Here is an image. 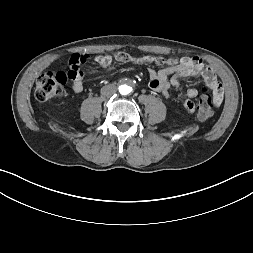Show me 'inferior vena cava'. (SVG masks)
Returning a JSON list of instances; mask_svg holds the SVG:
<instances>
[{"label": "inferior vena cava", "mask_w": 253, "mask_h": 253, "mask_svg": "<svg viewBox=\"0 0 253 253\" xmlns=\"http://www.w3.org/2000/svg\"><path fill=\"white\" fill-rule=\"evenodd\" d=\"M116 91H117L116 86L113 84H109L102 87L101 94L105 97H111L112 95L116 93Z\"/></svg>", "instance_id": "602c4592"}]
</instances>
